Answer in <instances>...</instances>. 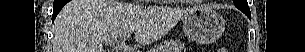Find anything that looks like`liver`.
Wrapping results in <instances>:
<instances>
[{
	"label": "liver",
	"instance_id": "6515ba94",
	"mask_svg": "<svg viewBox=\"0 0 305 52\" xmlns=\"http://www.w3.org/2000/svg\"><path fill=\"white\" fill-rule=\"evenodd\" d=\"M191 10L115 0H71L55 19L53 52H104V41L132 32L139 44L148 45L166 35Z\"/></svg>",
	"mask_w": 305,
	"mask_h": 52
}]
</instances>
